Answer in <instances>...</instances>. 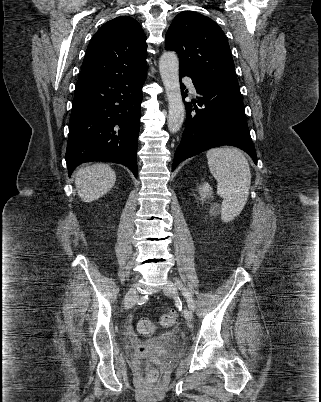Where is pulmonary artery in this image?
Instances as JSON below:
<instances>
[{
	"instance_id": "1",
	"label": "pulmonary artery",
	"mask_w": 321,
	"mask_h": 402,
	"mask_svg": "<svg viewBox=\"0 0 321 402\" xmlns=\"http://www.w3.org/2000/svg\"><path fill=\"white\" fill-rule=\"evenodd\" d=\"M182 81H183L185 84L188 85L189 90L191 91V93H193V94L196 93V89H195V87H194V85H193V83H192V79H191L190 77L184 76V77L182 78Z\"/></svg>"
}]
</instances>
